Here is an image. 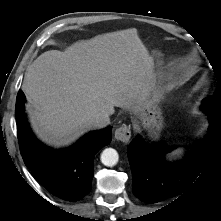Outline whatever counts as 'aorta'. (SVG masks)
Segmentation results:
<instances>
[{
    "label": "aorta",
    "instance_id": "obj_1",
    "mask_svg": "<svg viewBox=\"0 0 221 221\" xmlns=\"http://www.w3.org/2000/svg\"><path fill=\"white\" fill-rule=\"evenodd\" d=\"M119 155L113 148H106L101 154V162L108 167H112L117 164Z\"/></svg>",
    "mask_w": 221,
    "mask_h": 221
}]
</instances>
